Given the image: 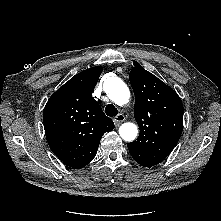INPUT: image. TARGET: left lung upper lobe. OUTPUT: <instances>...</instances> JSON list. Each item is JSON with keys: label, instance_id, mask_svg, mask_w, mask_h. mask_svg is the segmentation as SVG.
<instances>
[{"label": "left lung upper lobe", "instance_id": "5c2ea615", "mask_svg": "<svg viewBox=\"0 0 221 221\" xmlns=\"http://www.w3.org/2000/svg\"><path fill=\"white\" fill-rule=\"evenodd\" d=\"M129 80L135 94L134 116L140 134L128 143L144 167L160 163L174 149L183 129V104L177 93L134 61Z\"/></svg>", "mask_w": 221, "mask_h": 221}]
</instances>
